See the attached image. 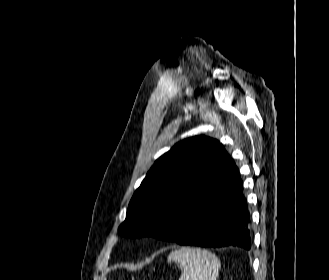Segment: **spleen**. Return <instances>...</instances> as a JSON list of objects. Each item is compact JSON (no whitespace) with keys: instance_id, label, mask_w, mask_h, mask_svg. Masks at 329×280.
<instances>
[{"instance_id":"3e777b00","label":"spleen","mask_w":329,"mask_h":280,"mask_svg":"<svg viewBox=\"0 0 329 280\" xmlns=\"http://www.w3.org/2000/svg\"><path fill=\"white\" fill-rule=\"evenodd\" d=\"M174 262L181 269L179 280H217L220 260L212 252L183 247L168 255V263Z\"/></svg>"}]
</instances>
